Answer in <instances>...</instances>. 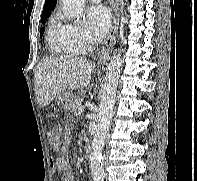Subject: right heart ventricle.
<instances>
[{
    "instance_id": "e07e8e85",
    "label": "right heart ventricle",
    "mask_w": 197,
    "mask_h": 181,
    "mask_svg": "<svg viewBox=\"0 0 197 181\" xmlns=\"http://www.w3.org/2000/svg\"><path fill=\"white\" fill-rule=\"evenodd\" d=\"M47 43L52 55L58 57H74L80 53L70 25L64 23L58 17L51 18L48 31Z\"/></svg>"
}]
</instances>
